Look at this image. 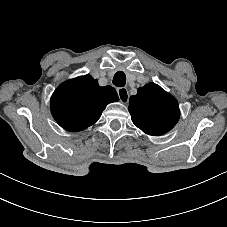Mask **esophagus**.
Masks as SVG:
<instances>
[{"mask_svg": "<svg viewBox=\"0 0 227 227\" xmlns=\"http://www.w3.org/2000/svg\"><path fill=\"white\" fill-rule=\"evenodd\" d=\"M117 93H118V97L120 99V102L123 104L128 103L129 101V91L127 88H117L116 89Z\"/></svg>", "mask_w": 227, "mask_h": 227, "instance_id": "34e87169", "label": "esophagus"}]
</instances>
